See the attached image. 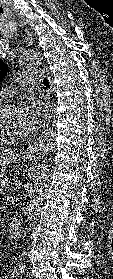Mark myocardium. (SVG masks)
I'll list each match as a JSON object with an SVG mask.
<instances>
[{"mask_svg":"<svg viewBox=\"0 0 113 279\" xmlns=\"http://www.w3.org/2000/svg\"><path fill=\"white\" fill-rule=\"evenodd\" d=\"M18 108L17 104L14 101L6 100L0 102V121L2 116L8 112L9 110ZM25 134H10L6 132L1 123H0V142L2 143H9V142H15L22 138H24Z\"/></svg>","mask_w":113,"mask_h":279,"instance_id":"1","label":"myocardium"}]
</instances>
